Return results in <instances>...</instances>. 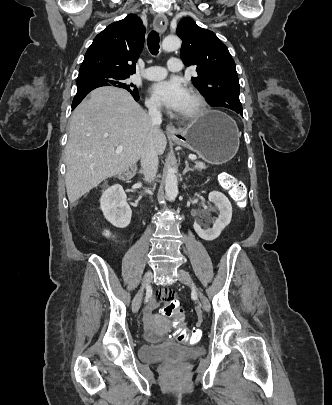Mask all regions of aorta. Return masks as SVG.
I'll use <instances>...</instances> for the list:
<instances>
[{
    "instance_id": "aorta-1",
    "label": "aorta",
    "mask_w": 332,
    "mask_h": 405,
    "mask_svg": "<svg viewBox=\"0 0 332 405\" xmlns=\"http://www.w3.org/2000/svg\"><path fill=\"white\" fill-rule=\"evenodd\" d=\"M181 47V40L177 36H167L162 42V49L166 52L177 50ZM165 193L170 201H174L178 195V178L176 170L168 168L165 179Z\"/></svg>"
}]
</instances>
